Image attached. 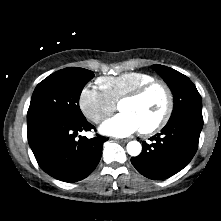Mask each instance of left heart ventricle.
I'll use <instances>...</instances> for the list:
<instances>
[{
  "instance_id": "b2bd125f",
  "label": "left heart ventricle",
  "mask_w": 221,
  "mask_h": 221,
  "mask_svg": "<svg viewBox=\"0 0 221 221\" xmlns=\"http://www.w3.org/2000/svg\"><path fill=\"white\" fill-rule=\"evenodd\" d=\"M165 102L163 91L160 88H154L140 99L122 102L119 110L132 114L139 121L141 128H145L160 119Z\"/></svg>"
}]
</instances>
